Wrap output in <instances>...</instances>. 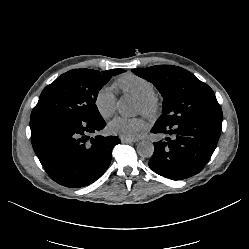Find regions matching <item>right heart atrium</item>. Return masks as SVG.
<instances>
[{
  "instance_id": "obj_1",
  "label": "right heart atrium",
  "mask_w": 249,
  "mask_h": 249,
  "mask_svg": "<svg viewBox=\"0 0 249 249\" xmlns=\"http://www.w3.org/2000/svg\"><path fill=\"white\" fill-rule=\"evenodd\" d=\"M94 105L103 118L111 116L116 109V94L112 87L109 85L101 86L95 93Z\"/></svg>"
}]
</instances>
